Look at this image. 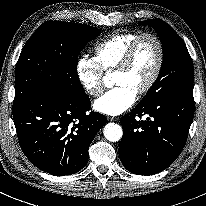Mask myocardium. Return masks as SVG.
I'll return each instance as SVG.
<instances>
[{"label": "myocardium", "mask_w": 206, "mask_h": 206, "mask_svg": "<svg viewBox=\"0 0 206 206\" xmlns=\"http://www.w3.org/2000/svg\"><path fill=\"white\" fill-rule=\"evenodd\" d=\"M144 38H151L157 45V49H158V58H157V63L155 66V69L150 77V79L148 80V82L137 91V95H144L146 93H148L156 84L162 68H163V64H164V46L163 43L161 41V39L154 33L151 32H145L140 34L128 47L122 61L120 62V64L116 67L115 72H126L133 59L134 56L136 54L137 48L140 44V42L144 39Z\"/></svg>", "instance_id": "f54148a6"}]
</instances>
